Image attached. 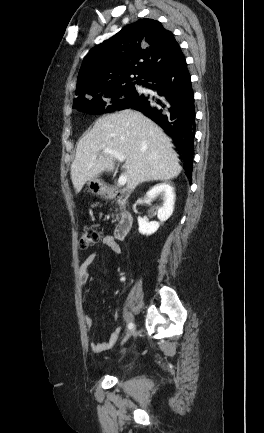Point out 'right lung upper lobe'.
Instances as JSON below:
<instances>
[{"mask_svg":"<svg viewBox=\"0 0 264 433\" xmlns=\"http://www.w3.org/2000/svg\"><path fill=\"white\" fill-rule=\"evenodd\" d=\"M180 52L174 35L159 21L140 19L129 24L84 58L75 101L132 84L134 79L140 83L153 68Z\"/></svg>","mask_w":264,"mask_h":433,"instance_id":"obj_1","label":"right lung upper lobe"}]
</instances>
